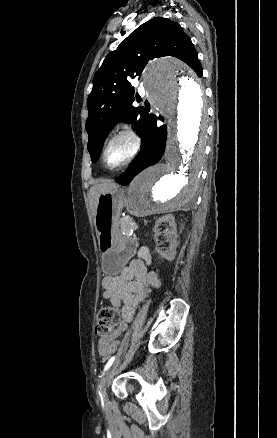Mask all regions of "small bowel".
I'll return each mask as SVG.
<instances>
[{
	"mask_svg": "<svg viewBox=\"0 0 277 438\" xmlns=\"http://www.w3.org/2000/svg\"><path fill=\"white\" fill-rule=\"evenodd\" d=\"M136 254L137 257L133 258L119 274L106 276L102 280L104 299L113 307L120 308L121 312L117 327L99 342L98 350L103 358L109 357L116 349L114 341L126 330L127 324L134 317L137 305L147 296L151 288L160 285L157 274L147 269V265L151 262L148 249L140 247Z\"/></svg>",
	"mask_w": 277,
	"mask_h": 438,
	"instance_id": "small-bowel-1",
	"label": "small bowel"
}]
</instances>
